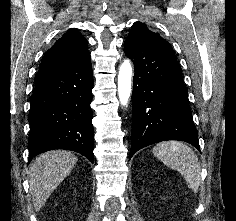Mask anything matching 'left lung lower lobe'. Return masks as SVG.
<instances>
[{
	"label": "left lung lower lobe",
	"mask_w": 236,
	"mask_h": 221,
	"mask_svg": "<svg viewBox=\"0 0 236 221\" xmlns=\"http://www.w3.org/2000/svg\"><path fill=\"white\" fill-rule=\"evenodd\" d=\"M124 48L135 72L129 159L143 147L166 140L185 141L200 151L174 51L140 33L129 34Z\"/></svg>",
	"instance_id": "0a47b994"
}]
</instances>
